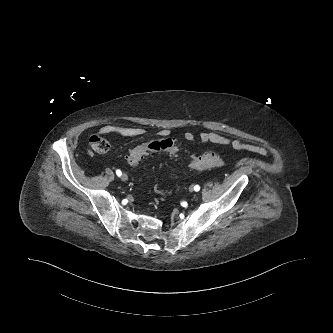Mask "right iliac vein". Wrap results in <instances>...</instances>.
<instances>
[{
	"label": "right iliac vein",
	"instance_id": "obj_1",
	"mask_svg": "<svg viewBox=\"0 0 333 333\" xmlns=\"http://www.w3.org/2000/svg\"><path fill=\"white\" fill-rule=\"evenodd\" d=\"M121 180H122V181H127V180H128V176H127V174L123 173V174L121 175Z\"/></svg>",
	"mask_w": 333,
	"mask_h": 333
}]
</instances>
